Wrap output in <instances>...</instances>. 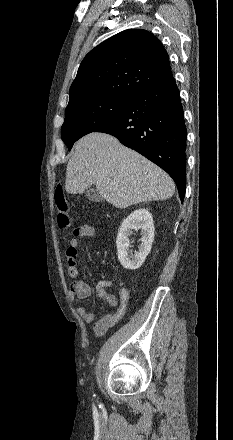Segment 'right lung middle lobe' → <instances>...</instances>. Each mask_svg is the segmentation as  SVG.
Returning a JSON list of instances; mask_svg holds the SVG:
<instances>
[{
	"instance_id": "dd1d6c3e",
	"label": "right lung middle lobe",
	"mask_w": 233,
	"mask_h": 440,
	"mask_svg": "<svg viewBox=\"0 0 233 440\" xmlns=\"http://www.w3.org/2000/svg\"><path fill=\"white\" fill-rule=\"evenodd\" d=\"M129 99L94 97L67 106L61 128L62 140L70 150L78 139L95 132L114 120L127 105Z\"/></svg>"
}]
</instances>
